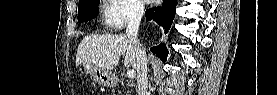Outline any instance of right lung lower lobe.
<instances>
[{"label": "right lung lower lobe", "instance_id": "right-lung-lower-lobe-1", "mask_svg": "<svg viewBox=\"0 0 277 95\" xmlns=\"http://www.w3.org/2000/svg\"><path fill=\"white\" fill-rule=\"evenodd\" d=\"M177 5V0H163L162 6L153 7L146 10V21L154 20L158 24L162 25L167 33L170 29V25L174 19L175 7ZM151 51L156 54L163 62L166 61L168 56V50L164 44H160L156 47L151 48Z\"/></svg>", "mask_w": 277, "mask_h": 95}]
</instances>
